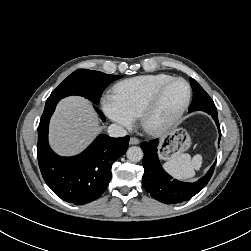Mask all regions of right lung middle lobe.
Returning a JSON list of instances; mask_svg holds the SVG:
<instances>
[{
	"instance_id": "right-lung-middle-lobe-1",
	"label": "right lung middle lobe",
	"mask_w": 251,
	"mask_h": 251,
	"mask_svg": "<svg viewBox=\"0 0 251 251\" xmlns=\"http://www.w3.org/2000/svg\"><path fill=\"white\" fill-rule=\"evenodd\" d=\"M121 77L99 71L78 69L64 79L51 93L46 104L57 102L70 95H79L98 104L104 89Z\"/></svg>"
}]
</instances>
